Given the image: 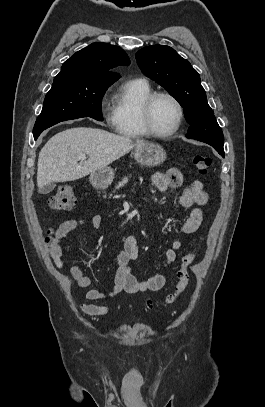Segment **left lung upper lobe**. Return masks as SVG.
Segmentation results:
<instances>
[{"instance_id":"1","label":"left lung upper lobe","mask_w":265,"mask_h":407,"mask_svg":"<svg viewBox=\"0 0 265 407\" xmlns=\"http://www.w3.org/2000/svg\"><path fill=\"white\" fill-rule=\"evenodd\" d=\"M142 72L163 86L184 108L190 124L186 137L199 140L223 150V133L213 110L207 103L206 93L198 72L169 46L153 45L136 53Z\"/></svg>"}]
</instances>
